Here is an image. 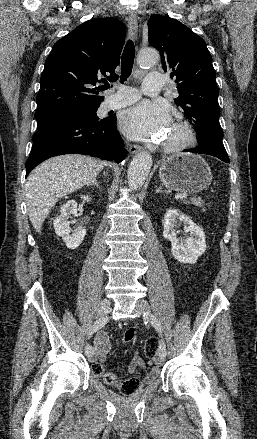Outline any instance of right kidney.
<instances>
[{
	"label": "right kidney",
	"instance_id": "right-kidney-1",
	"mask_svg": "<svg viewBox=\"0 0 257 439\" xmlns=\"http://www.w3.org/2000/svg\"><path fill=\"white\" fill-rule=\"evenodd\" d=\"M83 200L89 202L91 199L89 196H82ZM77 214V203L74 200H70L60 207V215L53 221L55 233L62 237L67 248L76 249L83 241L86 235V229L78 228L73 234L71 233L70 221L68 219L71 215Z\"/></svg>",
	"mask_w": 257,
	"mask_h": 439
}]
</instances>
